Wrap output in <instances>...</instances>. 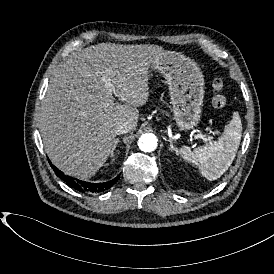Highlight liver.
<instances>
[{
    "mask_svg": "<svg viewBox=\"0 0 274 274\" xmlns=\"http://www.w3.org/2000/svg\"><path fill=\"white\" fill-rule=\"evenodd\" d=\"M165 53L157 45L101 43L56 69L42 101L40 131L58 168L88 180L104 166L116 145L115 125L128 120L136 128V107L150 96V69Z\"/></svg>",
    "mask_w": 274,
    "mask_h": 274,
    "instance_id": "obj_1",
    "label": "liver"
}]
</instances>
